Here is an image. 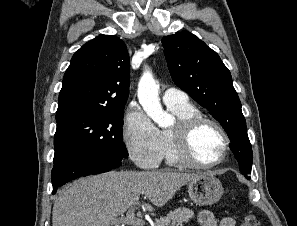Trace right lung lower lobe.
<instances>
[{"label": "right lung lower lobe", "instance_id": "1", "mask_svg": "<svg viewBox=\"0 0 297 226\" xmlns=\"http://www.w3.org/2000/svg\"><path fill=\"white\" fill-rule=\"evenodd\" d=\"M122 157L94 149L55 152L52 169L53 194L65 183L90 174L108 172L121 166Z\"/></svg>", "mask_w": 297, "mask_h": 226}]
</instances>
